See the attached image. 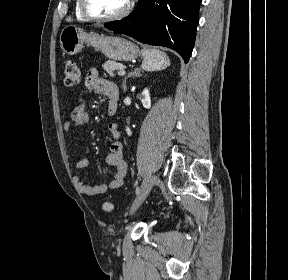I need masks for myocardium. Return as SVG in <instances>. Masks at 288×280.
Segmentation results:
<instances>
[{
  "instance_id": "myocardium-1",
  "label": "myocardium",
  "mask_w": 288,
  "mask_h": 280,
  "mask_svg": "<svg viewBox=\"0 0 288 280\" xmlns=\"http://www.w3.org/2000/svg\"><path fill=\"white\" fill-rule=\"evenodd\" d=\"M79 7L83 16L88 20L97 22H110L120 20L128 15L131 10V0H127L125 7L120 12L108 16L98 15L91 11L88 5V0H79Z\"/></svg>"
}]
</instances>
